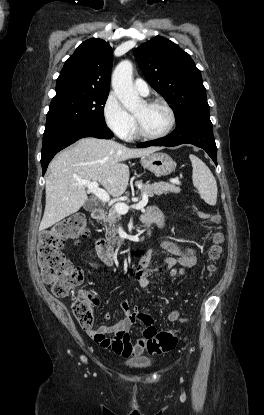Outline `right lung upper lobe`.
Wrapping results in <instances>:
<instances>
[{"label":"right lung upper lobe","mask_w":264,"mask_h":415,"mask_svg":"<svg viewBox=\"0 0 264 415\" xmlns=\"http://www.w3.org/2000/svg\"><path fill=\"white\" fill-rule=\"evenodd\" d=\"M113 52L108 42L92 38L67 59L57 79L56 95L108 93Z\"/></svg>","instance_id":"cb5924a9"}]
</instances>
